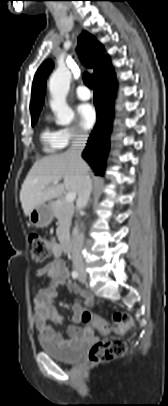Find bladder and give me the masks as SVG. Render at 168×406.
Wrapping results in <instances>:
<instances>
[{"instance_id": "obj_1", "label": "bladder", "mask_w": 168, "mask_h": 406, "mask_svg": "<svg viewBox=\"0 0 168 406\" xmlns=\"http://www.w3.org/2000/svg\"><path fill=\"white\" fill-rule=\"evenodd\" d=\"M42 351L55 360L64 363H72L79 360L84 352V344H75L69 346H59L48 341L42 335L38 338Z\"/></svg>"}]
</instances>
